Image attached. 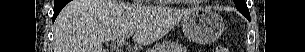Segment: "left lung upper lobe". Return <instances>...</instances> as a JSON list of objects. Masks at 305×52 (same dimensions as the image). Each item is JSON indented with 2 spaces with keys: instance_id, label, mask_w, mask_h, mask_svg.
I'll return each instance as SVG.
<instances>
[{
  "instance_id": "obj_1",
  "label": "left lung upper lobe",
  "mask_w": 305,
  "mask_h": 52,
  "mask_svg": "<svg viewBox=\"0 0 305 52\" xmlns=\"http://www.w3.org/2000/svg\"><path fill=\"white\" fill-rule=\"evenodd\" d=\"M236 8L246 17L250 18L249 10L245 0H235Z\"/></svg>"
}]
</instances>
